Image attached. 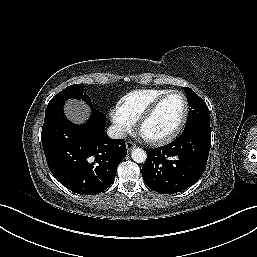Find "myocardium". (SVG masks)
Segmentation results:
<instances>
[{
  "instance_id": "myocardium-1",
  "label": "myocardium",
  "mask_w": 257,
  "mask_h": 257,
  "mask_svg": "<svg viewBox=\"0 0 257 257\" xmlns=\"http://www.w3.org/2000/svg\"><path fill=\"white\" fill-rule=\"evenodd\" d=\"M173 94H179L183 98V101H184V110H183V114H182V117H181L178 125L175 127V129L173 131H171L169 134H167L165 136L157 137V138L146 137L142 132V128H143L144 124L146 123L147 120H149L153 116V114L157 111V109L160 107V105L169 96H171ZM188 114H189V102H188L186 95L182 91H179V90H170L167 93L163 94L162 96L158 97L141 114V116L137 120L138 132L143 137V139L150 144H153V145L167 144V143L173 141L181 133V131L183 130V128L186 124Z\"/></svg>"
}]
</instances>
